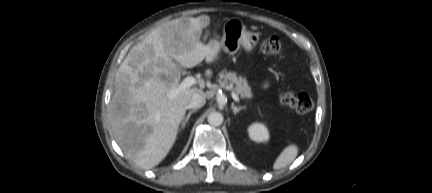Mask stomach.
<instances>
[{
    "mask_svg": "<svg viewBox=\"0 0 432 193\" xmlns=\"http://www.w3.org/2000/svg\"><path fill=\"white\" fill-rule=\"evenodd\" d=\"M260 40V34L247 31L245 25L236 18L229 19L223 27L221 45L225 52L234 54L243 47L249 53Z\"/></svg>",
    "mask_w": 432,
    "mask_h": 193,
    "instance_id": "obj_1",
    "label": "stomach"
}]
</instances>
